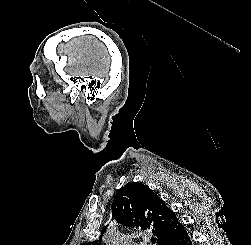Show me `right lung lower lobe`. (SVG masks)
<instances>
[{
  "label": "right lung lower lobe",
  "mask_w": 251,
  "mask_h": 245,
  "mask_svg": "<svg viewBox=\"0 0 251 245\" xmlns=\"http://www.w3.org/2000/svg\"><path fill=\"white\" fill-rule=\"evenodd\" d=\"M163 245H192V243L183 227L173 238L165 241Z\"/></svg>",
  "instance_id": "right-lung-lower-lobe-1"
}]
</instances>
